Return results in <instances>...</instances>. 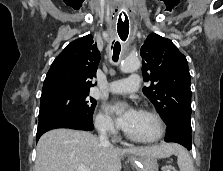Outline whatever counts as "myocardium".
I'll return each instance as SVG.
<instances>
[{
    "instance_id": "1",
    "label": "myocardium",
    "mask_w": 223,
    "mask_h": 171,
    "mask_svg": "<svg viewBox=\"0 0 223 171\" xmlns=\"http://www.w3.org/2000/svg\"><path fill=\"white\" fill-rule=\"evenodd\" d=\"M139 112L142 114L151 116L156 121L157 127H158V132H157L156 136H154L153 138H150V139H138V138L131 136L130 134H128L126 132L125 133L126 137L130 141L139 143V144H153V143L158 142L164 136L165 131H166V126H165V122H164L163 118L160 116L159 113H157L156 111L151 110V109L143 108V109H140Z\"/></svg>"
}]
</instances>
